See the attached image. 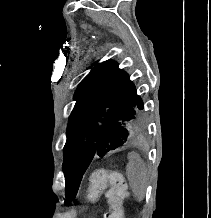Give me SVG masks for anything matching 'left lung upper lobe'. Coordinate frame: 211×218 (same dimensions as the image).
<instances>
[{"label":"left lung upper lobe","mask_w":211,"mask_h":218,"mask_svg":"<svg viewBox=\"0 0 211 218\" xmlns=\"http://www.w3.org/2000/svg\"><path fill=\"white\" fill-rule=\"evenodd\" d=\"M74 100L63 162L68 202L75 198L94 156L133 141L144 124L143 101L115 61L95 63L77 87Z\"/></svg>","instance_id":"1"}]
</instances>
